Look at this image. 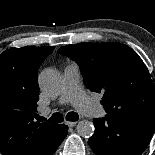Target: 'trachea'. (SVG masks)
<instances>
[{
  "mask_svg": "<svg viewBox=\"0 0 155 155\" xmlns=\"http://www.w3.org/2000/svg\"><path fill=\"white\" fill-rule=\"evenodd\" d=\"M78 119H79V116L75 112H69L66 115V120L67 121H77ZM40 120L41 121H45L46 118L40 117ZM63 120H64V118H63V115L62 114H60V113H54L51 116V118L48 120V122L57 124V123H61Z\"/></svg>",
  "mask_w": 155,
  "mask_h": 155,
  "instance_id": "3493384b",
  "label": "trachea"
}]
</instances>
